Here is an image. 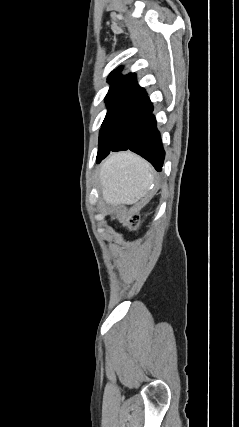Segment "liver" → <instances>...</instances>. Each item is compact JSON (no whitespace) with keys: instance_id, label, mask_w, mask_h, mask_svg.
<instances>
[{"instance_id":"1","label":"liver","mask_w":239,"mask_h":427,"mask_svg":"<svg viewBox=\"0 0 239 427\" xmlns=\"http://www.w3.org/2000/svg\"><path fill=\"white\" fill-rule=\"evenodd\" d=\"M99 181L107 204L132 205L148 195L153 174L146 160L126 151L112 154L104 161Z\"/></svg>"}]
</instances>
